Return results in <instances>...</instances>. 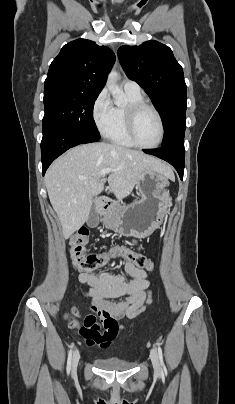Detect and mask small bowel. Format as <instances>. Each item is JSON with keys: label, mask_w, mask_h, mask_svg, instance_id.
Returning a JSON list of instances; mask_svg holds the SVG:
<instances>
[{"label": "small bowel", "mask_w": 235, "mask_h": 404, "mask_svg": "<svg viewBox=\"0 0 235 404\" xmlns=\"http://www.w3.org/2000/svg\"><path fill=\"white\" fill-rule=\"evenodd\" d=\"M126 272L133 277L127 280L124 276L108 272H84L78 273V280L86 284L88 289L83 294L92 300V310L99 315H106L114 321L113 331L122 328L117 324L116 319L126 315L132 319L143 313L146 307L152 302V295L149 290L150 282L146 272L135 265L126 262ZM128 295L129 297L113 303L108 298ZM81 336L88 346L94 344L106 345V339L98 331L90 332L86 328H81Z\"/></svg>", "instance_id": "small-bowel-1"}]
</instances>
